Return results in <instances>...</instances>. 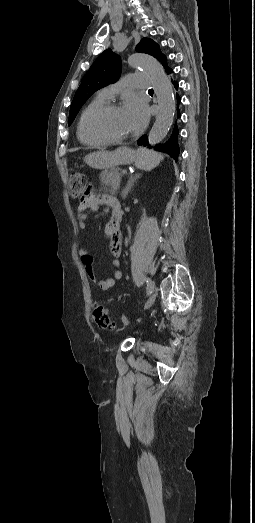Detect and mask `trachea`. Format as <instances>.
Here are the masks:
<instances>
[{
    "mask_svg": "<svg viewBox=\"0 0 255 523\" xmlns=\"http://www.w3.org/2000/svg\"><path fill=\"white\" fill-rule=\"evenodd\" d=\"M148 92H153V89H152V88H150V89L148 90Z\"/></svg>",
    "mask_w": 255,
    "mask_h": 523,
    "instance_id": "3493384b",
    "label": "trachea"
}]
</instances>
